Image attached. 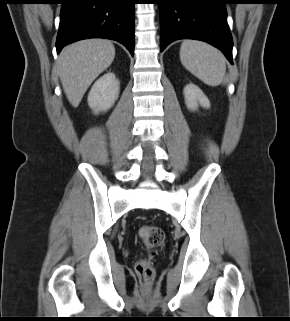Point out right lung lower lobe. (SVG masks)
<instances>
[{
	"label": "right lung lower lobe",
	"instance_id": "obj_1",
	"mask_svg": "<svg viewBox=\"0 0 290 321\" xmlns=\"http://www.w3.org/2000/svg\"><path fill=\"white\" fill-rule=\"evenodd\" d=\"M134 0H62L57 53L75 41L107 38L134 54Z\"/></svg>",
	"mask_w": 290,
	"mask_h": 321
}]
</instances>
